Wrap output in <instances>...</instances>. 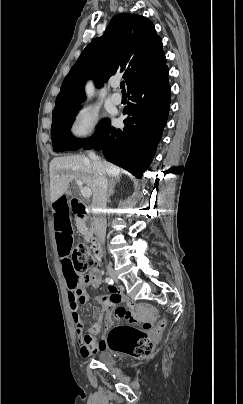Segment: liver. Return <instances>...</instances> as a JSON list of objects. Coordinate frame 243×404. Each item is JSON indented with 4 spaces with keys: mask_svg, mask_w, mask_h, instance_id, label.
Masks as SVG:
<instances>
[{
    "mask_svg": "<svg viewBox=\"0 0 243 404\" xmlns=\"http://www.w3.org/2000/svg\"><path fill=\"white\" fill-rule=\"evenodd\" d=\"M105 174L109 178H119L122 170L102 162ZM50 198L51 202H56L60 196L65 194L70 182L73 180H82L88 188L93 190V164L90 158L86 156H64V158H54L50 162Z\"/></svg>",
    "mask_w": 243,
    "mask_h": 404,
    "instance_id": "liver-1",
    "label": "liver"
}]
</instances>
